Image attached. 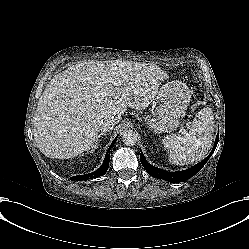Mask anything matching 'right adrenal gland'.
Returning a JSON list of instances; mask_svg holds the SVG:
<instances>
[{
  "label": "right adrenal gland",
  "mask_w": 249,
  "mask_h": 249,
  "mask_svg": "<svg viewBox=\"0 0 249 249\" xmlns=\"http://www.w3.org/2000/svg\"><path fill=\"white\" fill-rule=\"evenodd\" d=\"M104 135H105V133H101V134L99 135V138H100L101 136H104ZM99 138H98L97 142L95 143V145L93 146V150H92V151H95V149L98 148L99 143H100V141H101V139H99Z\"/></svg>",
  "instance_id": "1"
}]
</instances>
